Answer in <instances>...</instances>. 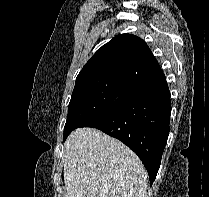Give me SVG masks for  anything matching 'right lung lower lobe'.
Here are the masks:
<instances>
[{
  "mask_svg": "<svg viewBox=\"0 0 209 197\" xmlns=\"http://www.w3.org/2000/svg\"><path fill=\"white\" fill-rule=\"evenodd\" d=\"M170 115V92L165 78L138 90L80 127L100 129L126 144L141 159L152 184L167 142Z\"/></svg>",
  "mask_w": 209,
  "mask_h": 197,
  "instance_id": "1",
  "label": "right lung lower lobe"
}]
</instances>
